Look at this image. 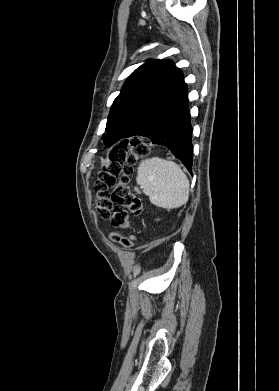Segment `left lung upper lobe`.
I'll return each mask as SVG.
<instances>
[{
    "instance_id": "1",
    "label": "left lung upper lobe",
    "mask_w": 279,
    "mask_h": 391,
    "mask_svg": "<svg viewBox=\"0 0 279 391\" xmlns=\"http://www.w3.org/2000/svg\"><path fill=\"white\" fill-rule=\"evenodd\" d=\"M187 92L182 71L170 60H148L125 82L114 100L103 134L110 146L153 122Z\"/></svg>"
}]
</instances>
